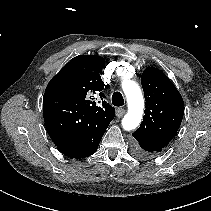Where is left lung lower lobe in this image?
I'll return each instance as SVG.
<instances>
[{"label": "left lung lower lobe", "mask_w": 211, "mask_h": 211, "mask_svg": "<svg viewBox=\"0 0 211 211\" xmlns=\"http://www.w3.org/2000/svg\"><path fill=\"white\" fill-rule=\"evenodd\" d=\"M133 153L136 157L140 159H149L155 155L154 152L142 147H135Z\"/></svg>", "instance_id": "1"}]
</instances>
